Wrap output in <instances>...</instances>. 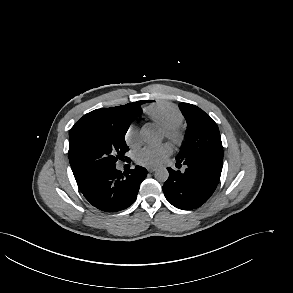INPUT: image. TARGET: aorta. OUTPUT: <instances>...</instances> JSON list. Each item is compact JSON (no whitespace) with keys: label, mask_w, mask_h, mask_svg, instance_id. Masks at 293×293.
<instances>
[{"label":"aorta","mask_w":293,"mask_h":293,"mask_svg":"<svg viewBox=\"0 0 293 293\" xmlns=\"http://www.w3.org/2000/svg\"><path fill=\"white\" fill-rule=\"evenodd\" d=\"M140 136L147 144H158L161 142V134L154 128L144 127L140 131ZM169 177L166 168H159L155 171V179L159 182H165Z\"/></svg>","instance_id":"1"}]
</instances>
